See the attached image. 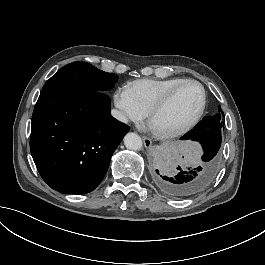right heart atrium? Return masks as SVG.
<instances>
[{
	"label": "right heart atrium",
	"mask_w": 265,
	"mask_h": 265,
	"mask_svg": "<svg viewBox=\"0 0 265 265\" xmlns=\"http://www.w3.org/2000/svg\"><path fill=\"white\" fill-rule=\"evenodd\" d=\"M112 117L121 127L132 124L142 125L146 120V113L138 110L132 101V93L127 87H120L112 100Z\"/></svg>",
	"instance_id": "d8ad5b80"
}]
</instances>
